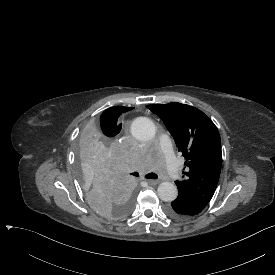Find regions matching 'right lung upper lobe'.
<instances>
[{
    "label": "right lung upper lobe",
    "instance_id": "1",
    "mask_svg": "<svg viewBox=\"0 0 275 275\" xmlns=\"http://www.w3.org/2000/svg\"><path fill=\"white\" fill-rule=\"evenodd\" d=\"M132 109L133 107L115 106L105 110L101 116V128L103 133L107 137L116 136L122 128V124L117 122L119 116Z\"/></svg>",
    "mask_w": 275,
    "mask_h": 275
}]
</instances>
